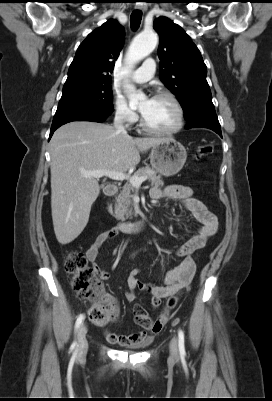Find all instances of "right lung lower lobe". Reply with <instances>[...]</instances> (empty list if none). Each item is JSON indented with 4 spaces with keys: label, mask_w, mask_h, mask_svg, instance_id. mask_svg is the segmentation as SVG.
I'll return each mask as SVG.
<instances>
[{
    "label": "right lung lower lobe",
    "mask_w": 272,
    "mask_h": 401,
    "mask_svg": "<svg viewBox=\"0 0 272 401\" xmlns=\"http://www.w3.org/2000/svg\"><path fill=\"white\" fill-rule=\"evenodd\" d=\"M108 116H99L96 114H78L65 119H61L57 122H53L50 130V136L53 135L54 131L61 125L71 122V121H92V122H103Z\"/></svg>",
    "instance_id": "right-lung-lower-lobe-1"
}]
</instances>
